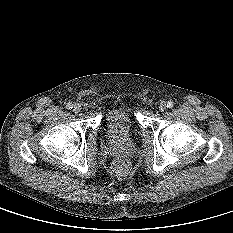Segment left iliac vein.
<instances>
[{
    "mask_svg": "<svg viewBox=\"0 0 233 233\" xmlns=\"http://www.w3.org/2000/svg\"><path fill=\"white\" fill-rule=\"evenodd\" d=\"M166 108H167L166 102L162 101V102L159 103V110L161 112L165 111Z\"/></svg>",
    "mask_w": 233,
    "mask_h": 233,
    "instance_id": "left-iliac-vein-1",
    "label": "left iliac vein"
}]
</instances>
